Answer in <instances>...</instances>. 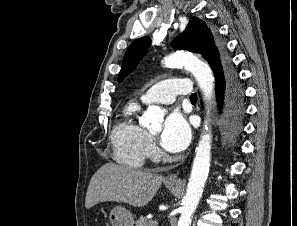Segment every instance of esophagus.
I'll use <instances>...</instances> for the list:
<instances>
[{"mask_svg":"<svg viewBox=\"0 0 297 226\" xmlns=\"http://www.w3.org/2000/svg\"><path fill=\"white\" fill-rule=\"evenodd\" d=\"M178 172H176V173H172V174H170V175H168L167 177H166V181H168V182H176V181H178Z\"/></svg>","mask_w":297,"mask_h":226,"instance_id":"obj_1","label":"esophagus"}]
</instances>
